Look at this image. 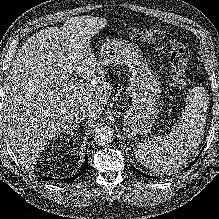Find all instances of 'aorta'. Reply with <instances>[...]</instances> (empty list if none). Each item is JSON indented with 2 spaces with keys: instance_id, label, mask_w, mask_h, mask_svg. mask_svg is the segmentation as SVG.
Listing matches in <instances>:
<instances>
[{
  "instance_id": "obj_1",
  "label": "aorta",
  "mask_w": 219,
  "mask_h": 219,
  "mask_svg": "<svg viewBox=\"0 0 219 219\" xmlns=\"http://www.w3.org/2000/svg\"><path fill=\"white\" fill-rule=\"evenodd\" d=\"M114 130L109 126H103L98 128L94 134V142L98 146H105L112 142L114 137Z\"/></svg>"
}]
</instances>
